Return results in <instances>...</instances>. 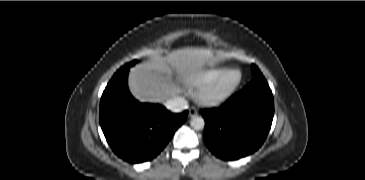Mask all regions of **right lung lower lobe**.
Here are the masks:
<instances>
[{"instance_id":"right-lung-lower-lobe-1","label":"right lung lower lobe","mask_w":365,"mask_h":180,"mask_svg":"<svg viewBox=\"0 0 365 180\" xmlns=\"http://www.w3.org/2000/svg\"><path fill=\"white\" fill-rule=\"evenodd\" d=\"M129 68L119 69L105 88L100 100V125L117 156L141 163L164 149L185 122L188 111L173 114L162 105L139 103L128 90Z\"/></svg>"}]
</instances>
